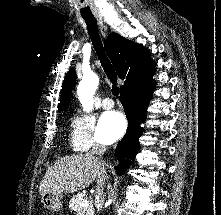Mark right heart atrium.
I'll return each mask as SVG.
<instances>
[{"instance_id":"1","label":"right heart atrium","mask_w":221,"mask_h":215,"mask_svg":"<svg viewBox=\"0 0 221 215\" xmlns=\"http://www.w3.org/2000/svg\"><path fill=\"white\" fill-rule=\"evenodd\" d=\"M71 143L79 152L89 151L105 143L97 130L93 116L79 113L73 118Z\"/></svg>"}]
</instances>
